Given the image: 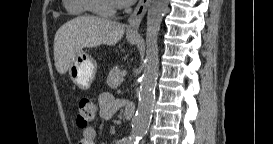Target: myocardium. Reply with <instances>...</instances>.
Segmentation results:
<instances>
[{
	"label": "myocardium",
	"mask_w": 273,
	"mask_h": 144,
	"mask_svg": "<svg viewBox=\"0 0 273 144\" xmlns=\"http://www.w3.org/2000/svg\"><path fill=\"white\" fill-rule=\"evenodd\" d=\"M85 6L87 8V11L98 15H111L115 13L118 9V6L114 4L110 6H103L101 4V0H86Z\"/></svg>",
	"instance_id": "f54148a6"
}]
</instances>
